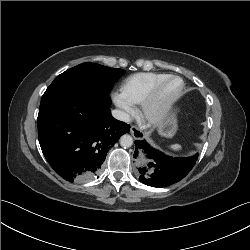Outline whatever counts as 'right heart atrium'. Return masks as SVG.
Instances as JSON below:
<instances>
[{
  "label": "right heart atrium",
  "instance_id": "d8ad5b80",
  "mask_svg": "<svg viewBox=\"0 0 250 250\" xmlns=\"http://www.w3.org/2000/svg\"><path fill=\"white\" fill-rule=\"evenodd\" d=\"M113 101L123 111L125 117H129L133 113V106L124 100L120 94H114Z\"/></svg>",
  "mask_w": 250,
  "mask_h": 250
}]
</instances>
